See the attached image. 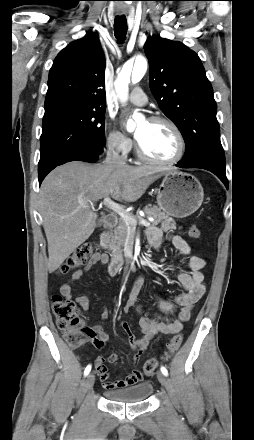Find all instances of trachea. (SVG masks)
Returning <instances> with one entry per match:
<instances>
[{"mask_svg": "<svg viewBox=\"0 0 254 440\" xmlns=\"http://www.w3.org/2000/svg\"><path fill=\"white\" fill-rule=\"evenodd\" d=\"M127 33V20L125 16L116 17L114 20V34L116 39L121 43Z\"/></svg>", "mask_w": 254, "mask_h": 440, "instance_id": "1", "label": "trachea"}]
</instances>
